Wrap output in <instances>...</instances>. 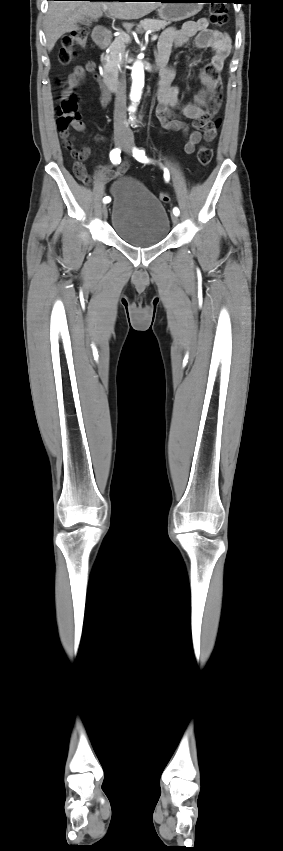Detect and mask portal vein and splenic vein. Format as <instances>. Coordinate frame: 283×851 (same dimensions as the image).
Masks as SVG:
<instances>
[{
  "label": "portal vein and splenic vein",
  "instance_id": "18ae733b",
  "mask_svg": "<svg viewBox=\"0 0 283 851\" xmlns=\"http://www.w3.org/2000/svg\"><path fill=\"white\" fill-rule=\"evenodd\" d=\"M103 9H104V11H106V10H107V7H104ZM123 35H124V37L126 38V40H129V39H130V37H129V35H128V34L123 33ZM157 38H158V36H157V35H153V36H152V38H151V40H152V41H155V40H157Z\"/></svg>",
  "mask_w": 283,
  "mask_h": 851
}]
</instances>
